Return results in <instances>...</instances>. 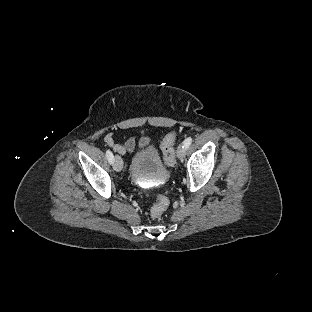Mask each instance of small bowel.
Segmentation results:
<instances>
[{"label": "small bowel", "instance_id": "obj_1", "mask_svg": "<svg viewBox=\"0 0 312 312\" xmlns=\"http://www.w3.org/2000/svg\"><path fill=\"white\" fill-rule=\"evenodd\" d=\"M105 142L114 151L119 152L122 155L132 154L136 148H143L149 143V139L144 137L137 140L134 137L129 138L124 144H116L113 140V135L111 133L105 136Z\"/></svg>", "mask_w": 312, "mask_h": 312}]
</instances>
